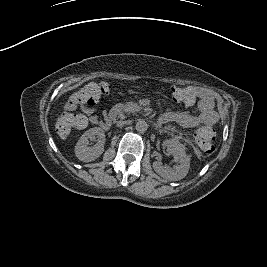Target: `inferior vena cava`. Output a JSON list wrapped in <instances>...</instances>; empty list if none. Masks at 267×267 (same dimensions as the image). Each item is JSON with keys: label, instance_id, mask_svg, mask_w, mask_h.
Instances as JSON below:
<instances>
[{"label": "inferior vena cava", "instance_id": "1", "mask_svg": "<svg viewBox=\"0 0 267 267\" xmlns=\"http://www.w3.org/2000/svg\"><path fill=\"white\" fill-rule=\"evenodd\" d=\"M119 124H120V125H124L125 122H124V121H120Z\"/></svg>", "mask_w": 267, "mask_h": 267}]
</instances>
